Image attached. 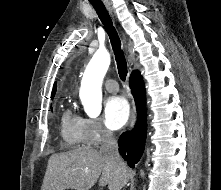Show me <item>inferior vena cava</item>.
<instances>
[{"mask_svg":"<svg viewBox=\"0 0 221 190\" xmlns=\"http://www.w3.org/2000/svg\"><path fill=\"white\" fill-rule=\"evenodd\" d=\"M100 152L119 167L124 166L125 163L122 161L119 154L117 141L113 137V133L107 129H104L102 132Z\"/></svg>","mask_w":221,"mask_h":190,"instance_id":"inferior-vena-cava-1","label":"inferior vena cava"}]
</instances>
